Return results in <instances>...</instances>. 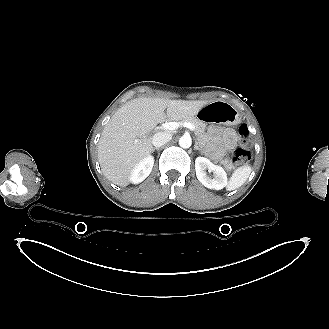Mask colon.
<instances>
[{
  "instance_id": "obj_1",
  "label": "colon",
  "mask_w": 329,
  "mask_h": 329,
  "mask_svg": "<svg viewBox=\"0 0 329 329\" xmlns=\"http://www.w3.org/2000/svg\"><path fill=\"white\" fill-rule=\"evenodd\" d=\"M251 144V134L247 125L242 124L239 127V147L233 153V159L238 165L248 163L252 158L249 149Z\"/></svg>"
}]
</instances>
